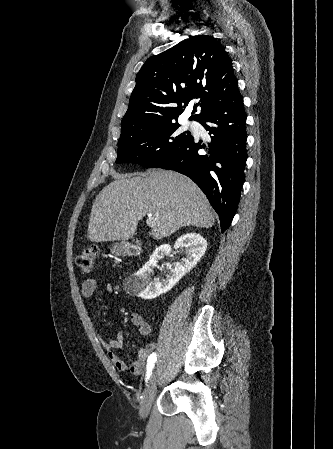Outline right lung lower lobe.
<instances>
[{"instance_id": "obj_1", "label": "right lung lower lobe", "mask_w": 333, "mask_h": 449, "mask_svg": "<svg viewBox=\"0 0 333 449\" xmlns=\"http://www.w3.org/2000/svg\"><path fill=\"white\" fill-rule=\"evenodd\" d=\"M243 98L238 94L210 108L198 122L209 131L207 144L194 137L155 168L191 178L205 193L224 232L237 210L247 160Z\"/></svg>"}]
</instances>
